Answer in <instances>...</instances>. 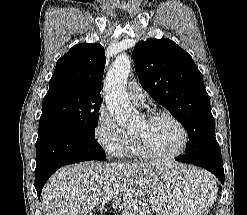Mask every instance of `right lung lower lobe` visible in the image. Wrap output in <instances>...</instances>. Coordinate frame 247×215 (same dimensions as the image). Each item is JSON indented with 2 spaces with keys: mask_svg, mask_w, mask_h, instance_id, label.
I'll return each mask as SVG.
<instances>
[{
  "mask_svg": "<svg viewBox=\"0 0 247 215\" xmlns=\"http://www.w3.org/2000/svg\"><path fill=\"white\" fill-rule=\"evenodd\" d=\"M105 159L104 151L95 137H88L79 130L62 126L39 130L35 169V188L38 197L40 198L46 181L61 166Z\"/></svg>",
  "mask_w": 247,
  "mask_h": 215,
  "instance_id": "1",
  "label": "right lung lower lobe"
}]
</instances>
